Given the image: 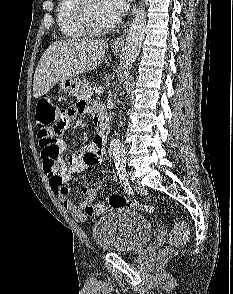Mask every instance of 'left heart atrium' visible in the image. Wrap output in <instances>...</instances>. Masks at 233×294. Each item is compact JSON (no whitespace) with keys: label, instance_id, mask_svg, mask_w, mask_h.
<instances>
[{"label":"left heart atrium","instance_id":"obj_1","mask_svg":"<svg viewBox=\"0 0 233 294\" xmlns=\"http://www.w3.org/2000/svg\"><path fill=\"white\" fill-rule=\"evenodd\" d=\"M131 0H103L107 13L113 20L118 19L129 8Z\"/></svg>","mask_w":233,"mask_h":294}]
</instances>
